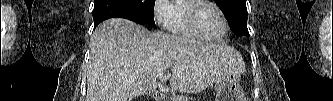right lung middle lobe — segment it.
I'll return each instance as SVG.
<instances>
[{
  "label": "right lung middle lobe",
  "instance_id": "dd1d6c3e",
  "mask_svg": "<svg viewBox=\"0 0 333 101\" xmlns=\"http://www.w3.org/2000/svg\"><path fill=\"white\" fill-rule=\"evenodd\" d=\"M139 14L142 23L156 28L154 22V4L155 0H128Z\"/></svg>",
  "mask_w": 333,
  "mask_h": 101
}]
</instances>
